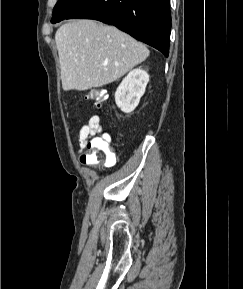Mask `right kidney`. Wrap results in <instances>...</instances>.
I'll return each instance as SVG.
<instances>
[{"instance_id":"right-kidney-1","label":"right kidney","mask_w":243,"mask_h":289,"mask_svg":"<svg viewBox=\"0 0 243 289\" xmlns=\"http://www.w3.org/2000/svg\"><path fill=\"white\" fill-rule=\"evenodd\" d=\"M149 82L148 73L136 68L122 80L115 92V102L125 113L132 112L139 104Z\"/></svg>"}]
</instances>
